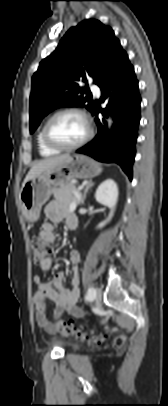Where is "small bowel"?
I'll return each mask as SVG.
<instances>
[{
    "label": "small bowel",
    "instance_id": "1",
    "mask_svg": "<svg viewBox=\"0 0 168 406\" xmlns=\"http://www.w3.org/2000/svg\"><path fill=\"white\" fill-rule=\"evenodd\" d=\"M45 215L49 221L42 225L39 237L49 244L56 242L55 229L61 221L65 220L68 226L70 222H77L75 213L69 208H64L58 201H52L47 205ZM79 262L80 253L77 250L71 251L69 254V263L72 278L71 286L68 288L63 286V280L65 278L64 271L56 273L50 282H43L40 274L33 276V282L37 285V291L34 295L35 318L39 326L49 333H54L55 329L47 317L48 301L55 303L53 311L54 318H61L65 311L77 318H82L85 314L83 308L78 305L80 294L78 276ZM51 265L52 259L49 257L40 267L41 270L47 271L51 268Z\"/></svg>",
    "mask_w": 168,
    "mask_h": 406
}]
</instances>
